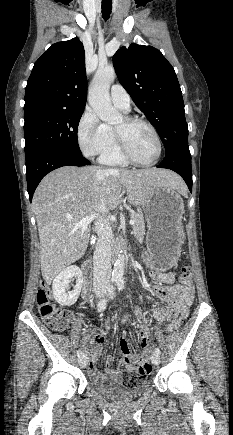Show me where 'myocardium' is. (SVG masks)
I'll list each match as a JSON object with an SVG mask.
<instances>
[{"label": "myocardium", "instance_id": "obj_1", "mask_svg": "<svg viewBox=\"0 0 233 435\" xmlns=\"http://www.w3.org/2000/svg\"><path fill=\"white\" fill-rule=\"evenodd\" d=\"M123 119H124L125 125H131L133 123H142V124L146 125L150 129V131L152 132V134L154 136V139L156 142V148H157V154H156V157L154 160H152L150 162H141V161L137 160L134 157V155L131 153V151L129 150L122 130L114 127L113 132L115 135V139H116L118 148H119L120 153L123 156V158L126 161H128L129 163L136 165V166H140V167H151V166L155 165L159 161V159L161 157V153H162L161 139H160V136H159L158 131L155 128V126L147 119H144V118L139 117V116H125Z\"/></svg>", "mask_w": 233, "mask_h": 435}]
</instances>
